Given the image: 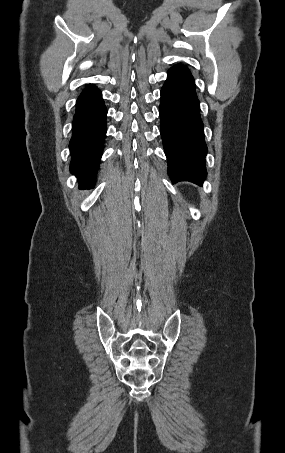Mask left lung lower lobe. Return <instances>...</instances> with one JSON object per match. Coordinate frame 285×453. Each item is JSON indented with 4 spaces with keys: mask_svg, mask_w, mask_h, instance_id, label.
<instances>
[{
    "mask_svg": "<svg viewBox=\"0 0 285 453\" xmlns=\"http://www.w3.org/2000/svg\"><path fill=\"white\" fill-rule=\"evenodd\" d=\"M160 133L172 183L190 181L202 185L207 174L203 122L195 81L180 64L167 73L161 90Z\"/></svg>",
    "mask_w": 285,
    "mask_h": 453,
    "instance_id": "obj_1",
    "label": "left lung lower lobe"
}]
</instances>
